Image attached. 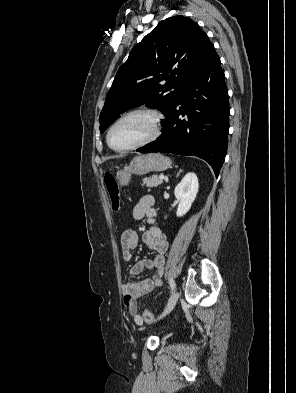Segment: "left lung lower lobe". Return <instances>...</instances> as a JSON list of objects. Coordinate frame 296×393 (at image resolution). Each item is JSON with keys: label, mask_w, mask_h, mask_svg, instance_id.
I'll list each match as a JSON object with an SVG mask.
<instances>
[{"label": "left lung lower lobe", "mask_w": 296, "mask_h": 393, "mask_svg": "<svg viewBox=\"0 0 296 393\" xmlns=\"http://www.w3.org/2000/svg\"><path fill=\"white\" fill-rule=\"evenodd\" d=\"M228 131V90L220 59L213 51L178 97L161 136L137 151L197 156L211 165L217 177L226 155Z\"/></svg>", "instance_id": "0a47b994"}]
</instances>
